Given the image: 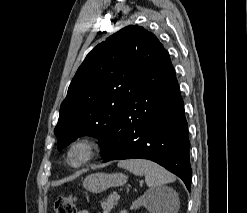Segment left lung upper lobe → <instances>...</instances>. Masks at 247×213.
I'll return each mask as SVG.
<instances>
[{
    "mask_svg": "<svg viewBox=\"0 0 247 213\" xmlns=\"http://www.w3.org/2000/svg\"><path fill=\"white\" fill-rule=\"evenodd\" d=\"M168 52L152 33L130 25L98 44L78 68L60 107L54 133L61 149L83 135L109 148L126 101L136 95L146 71Z\"/></svg>",
    "mask_w": 247,
    "mask_h": 213,
    "instance_id": "1",
    "label": "left lung upper lobe"
}]
</instances>
